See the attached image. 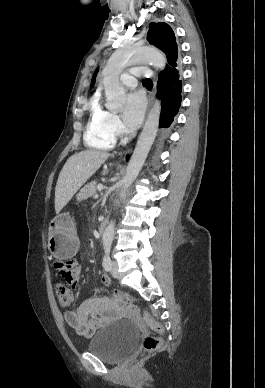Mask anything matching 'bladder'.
<instances>
[{
	"mask_svg": "<svg viewBox=\"0 0 265 388\" xmlns=\"http://www.w3.org/2000/svg\"><path fill=\"white\" fill-rule=\"evenodd\" d=\"M137 328L131 321L109 323L93 335L88 344V351L103 358L116 361L123 353L134 346Z\"/></svg>",
	"mask_w": 265,
	"mask_h": 388,
	"instance_id": "bladder-1",
	"label": "bladder"
}]
</instances>
